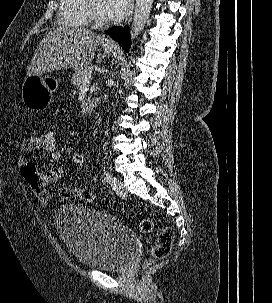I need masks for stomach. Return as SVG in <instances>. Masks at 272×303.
<instances>
[{
  "instance_id": "stomach-1",
  "label": "stomach",
  "mask_w": 272,
  "mask_h": 303,
  "mask_svg": "<svg viewBox=\"0 0 272 303\" xmlns=\"http://www.w3.org/2000/svg\"><path fill=\"white\" fill-rule=\"evenodd\" d=\"M106 54L114 52L113 48L103 46ZM55 81L52 77L45 75H34L26 77L22 84V101L31 110L46 108L53 97Z\"/></svg>"
}]
</instances>
